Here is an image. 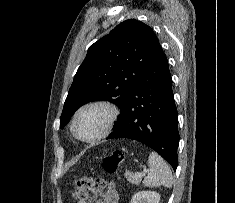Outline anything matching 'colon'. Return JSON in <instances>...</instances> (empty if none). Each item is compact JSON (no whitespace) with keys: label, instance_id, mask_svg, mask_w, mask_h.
Returning <instances> with one entry per match:
<instances>
[{"label":"colon","instance_id":"1","mask_svg":"<svg viewBox=\"0 0 235 203\" xmlns=\"http://www.w3.org/2000/svg\"><path fill=\"white\" fill-rule=\"evenodd\" d=\"M124 161L121 151H114L107 154L103 159V168L107 173H115L119 170ZM104 181L102 178L81 177L76 180L74 197L80 202L93 200L103 193Z\"/></svg>","mask_w":235,"mask_h":203}]
</instances>
